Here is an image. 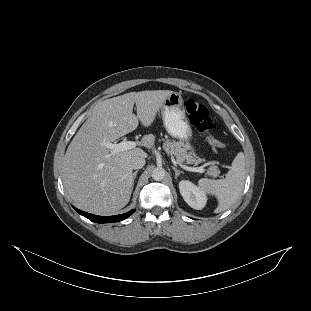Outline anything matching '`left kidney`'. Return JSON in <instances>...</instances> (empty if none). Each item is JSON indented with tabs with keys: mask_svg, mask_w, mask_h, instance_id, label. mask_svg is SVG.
Returning a JSON list of instances; mask_svg holds the SVG:
<instances>
[{
	"mask_svg": "<svg viewBox=\"0 0 311 311\" xmlns=\"http://www.w3.org/2000/svg\"><path fill=\"white\" fill-rule=\"evenodd\" d=\"M180 193L185 202L192 208L199 210L204 207L206 198L204 193L189 181H181L179 184Z\"/></svg>",
	"mask_w": 311,
	"mask_h": 311,
	"instance_id": "5707ae66",
	"label": "left kidney"
}]
</instances>
